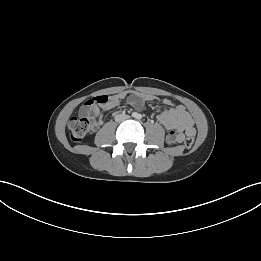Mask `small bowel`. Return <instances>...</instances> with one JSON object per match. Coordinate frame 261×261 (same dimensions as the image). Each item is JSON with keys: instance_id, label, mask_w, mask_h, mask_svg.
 Instances as JSON below:
<instances>
[{"instance_id": "1", "label": "small bowel", "mask_w": 261, "mask_h": 261, "mask_svg": "<svg viewBox=\"0 0 261 261\" xmlns=\"http://www.w3.org/2000/svg\"><path fill=\"white\" fill-rule=\"evenodd\" d=\"M124 93L109 96L107 101L102 104H89L86 102L80 109L81 114H86L93 119L92 129L102 123L105 111L118 106ZM156 97L145 93H132L128 96V102L135 108L140 109L143 102L155 101ZM163 103L167 106L158 115V121L169 131L166 141L168 144L181 143L186 135H194V122L184 106L175 104L170 99H164Z\"/></svg>"}]
</instances>
